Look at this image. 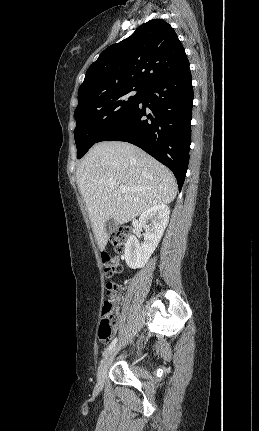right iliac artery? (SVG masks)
<instances>
[{
	"label": "right iliac artery",
	"instance_id": "1",
	"mask_svg": "<svg viewBox=\"0 0 259 431\" xmlns=\"http://www.w3.org/2000/svg\"><path fill=\"white\" fill-rule=\"evenodd\" d=\"M116 343H117V338H115L112 342H111V344L107 347V349L104 351V353H103V356L105 357V356H107V354L115 347V345H116Z\"/></svg>",
	"mask_w": 259,
	"mask_h": 431
}]
</instances>
